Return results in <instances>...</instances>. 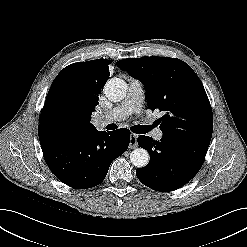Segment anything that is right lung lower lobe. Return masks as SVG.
<instances>
[{"instance_id": "98d812e1", "label": "right lung lower lobe", "mask_w": 247, "mask_h": 247, "mask_svg": "<svg viewBox=\"0 0 247 247\" xmlns=\"http://www.w3.org/2000/svg\"><path fill=\"white\" fill-rule=\"evenodd\" d=\"M38 133L50 170L60 181L77 189L100 184L111 162L127 150L130 141L127 128L76 135L40 124Z\"/></svg>"}]
</instances>
